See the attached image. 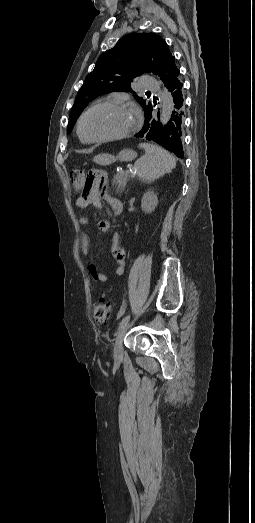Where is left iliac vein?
<instances>
[{"label": "left iliac vein", "instance_id": "obj_1", "mask_svg": "<svg viewBox=\"0 0 255 523\" xmlns=\"http://www.w3.org/2000/svg\"><path fill=\"white\" fill-rule=\"evenodd\" d=\"M130 327V323H127L125 326H123L120 331L117 334V337L115 339V345H114V357L117 360H121L123 358V340L125 337L126 332L128 331Z\"/></svg>", "mask_w": 255, "mask_h": 523}]
</instances>
